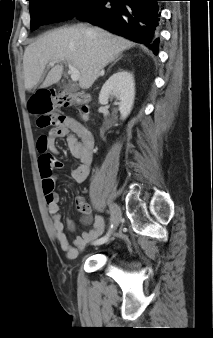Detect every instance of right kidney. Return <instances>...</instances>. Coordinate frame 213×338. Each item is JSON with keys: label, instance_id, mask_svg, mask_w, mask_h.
I'll return each mask as SVG.
<instances>
[{"label": "right kidney", "instance_id": "1", "mask_svg": "<svg viewBox=\"0 0 213 338\" xmlns=\"http://www.w3.org/2000/svg\"><path fill=\"white\" fill-rule=\"evenodd\" d=\"M110 97L119 100L121 119H126L132 110L135 97V83L131 73L120 70L105 82L99 94V103L107 104Z\"/></svg>", "mask_w": 213, "mask_h": 338}]
</instances>
